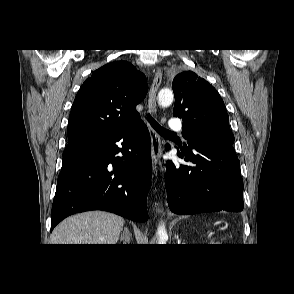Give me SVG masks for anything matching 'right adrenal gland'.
Masks as SVG:
<instances>
[{"label": "right adrenal gland", "instance_id": "right-adrenal-gland-1", "mask_svg": "<svg viewBox=\"0 0 294 294\" xmlns=\"http://www.w3.org/2000/svg\"><path fill=\"white\" fill-rule=\"evenodd\" d=\"M130 236H131V234H130L128 228L124 227V231H123V234L121 235L120 241L121 242L123 241L124 244L129 243Z\"/></svg>", "mask_w": 294, "mask_h": 294}]
</instances>
